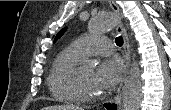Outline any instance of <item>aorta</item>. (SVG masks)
I'll return each instance as SVG.
<instances>
[{
  "mask_svg": "<svg viewBox=\"0 0 171 110\" xmlns=\"http://www.w3.org/2000/svg\"><path fill=\"white\" fill-rule=\"evenodd\" d=\"M118 17L112 13L99 14L89 22V29L94 34L104 33L118 25ZM90 68L94 67L88 61ZM142 97V80L138 62L133 60L125 81L122 110H139Z\"/></svg>",
  "mask_w": 171,
  "mask_h": 110,
  "instance_id": "762f6f07",
  "label": "aorta"
}]
</instances>
